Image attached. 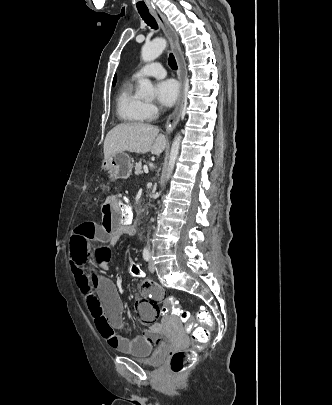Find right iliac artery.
Here are the masks:
<instances>
[{
	"label": "right iliac artery",
	"mask_w": 332,
	"mask_h": 405,
	"mask_svg": "<svg viewBox=\"0 0 332 405\" xmlns=\"http://www.w3.org/2000/svg\"><path fill=\"white\" fill-rule=\"evenodd\" d=\"M143 258H144V260H146V261H149V260H150V252H149L148 249H144V250H143Z\"/></svg>",
	"instance_id": "1"
}]
</instances>
